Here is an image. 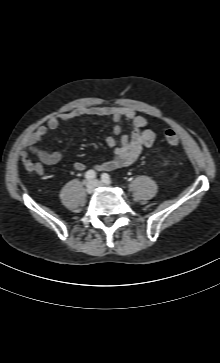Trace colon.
<instances>
[{
	"instance_id": "colon-1",
	"label": "colon",
	"mask_w": 220,
	"mask_h": 363,
	"mask_svg": "<svg viewBox=\"0 0 220 363\" xmlns=\"http://www.w3.org/2000/svg\"><path fill=\"white\" fill-rule=\"evenodd\" d=\"M165 140L170 146H176L179 143V136L174 130L168 129L165 132Z\"/></svg>"
}]
</instances>
